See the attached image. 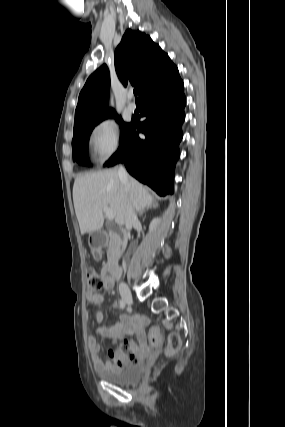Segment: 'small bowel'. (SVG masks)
<instances>
[{
    "label": "small bowel",
    "instance_id": "c3829d8e",
    "mask_svg": "<svg viewBox=\"0 0 285 427\" xmlns=\"http://www.w3.org/2000/svg\"><path fill=\"white\" fill-rule=\"evenodd\" d=\"M103 287L105 289H111L114 285L112 282H106L103 276L102 270ZM87 300L94 306H99L103 303L104 297L100 293H88ZM103 319V315L100 311L95 313V322L100 323ZM147 323L146 318L139 315L122 314L118 320L110 321L106 326H99L95 329L97 335L103 338L111 340L113 343H117L121 339H126L131 334L135 333L138 337L139 355L134 361L125 360L121 350L109 351V355L113 361L103 362L100 359L99 352L100 346L96 342L95 338H89V348L91 352L92 361L96 370L102 371L104 369H117L127 365L129 362H135L140 360L147 352L148 345L146 342L144 327ZM125 340L124 342H126Z\"/></svg>",
    "mask_w": 285,
    "mask_h": 427
}]
</instances>
